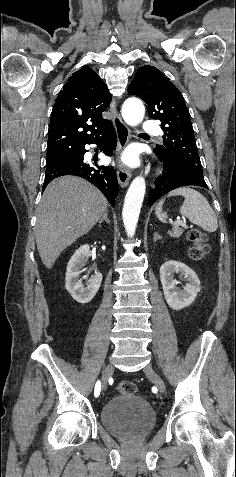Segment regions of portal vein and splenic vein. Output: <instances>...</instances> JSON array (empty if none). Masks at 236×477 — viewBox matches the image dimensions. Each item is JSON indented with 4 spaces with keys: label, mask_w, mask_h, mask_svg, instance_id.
<instances>
[{
    "label": "portal vein and splenic vein",
    "mask_w": 236,
    "mask_h": 477,
    "mask_svg": "<svg viewBox=\"0 0 236 477\" xmlns=\"http://www.w3.org/2000/svg\"><path fill=\"white\" fill-rule=\"evenodd\" d=\"M174 226H184V222L182 220H178L174 223Z\"/></svg>",
    "instance_id": "obj_1"
}]
</instances>
